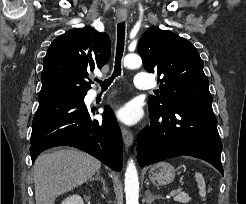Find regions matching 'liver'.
Here are the masks:
<instances>
[{
    "label": "liver",
    "mask_w": 246,
    "mask_h": 204,
    "mask_svg": "<svg viewBox=\"0 0 246 204\" xmlns=\"http://www.w3.org/2000/svg\"><path fill=\"white\" fill-rule=\"evenodd\" d=\"M100 167V161L76 149L40 155L33 168L36 204H54L56 197L91 179Z\"/></svg>",
    "instance_id": "liver-1"
}]
</instances>
